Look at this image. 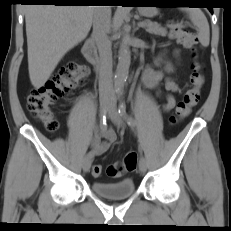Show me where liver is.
<instances>
[{"mask_svg":"<svg viewBox=\"0 0 231 231\" xmlns=\"http://www.w3.org/2000/svg\"><path fill=\"white\" fill-rule=\"evenodd\" d=\"M95 6L28 5L24 8L28 70L32 85L42 87L64 55L83 41Z\"/></svg>","mask_w":231,"mask_h":231,"instance_id":"6515ba94","label":"liver"}]
</instances>
